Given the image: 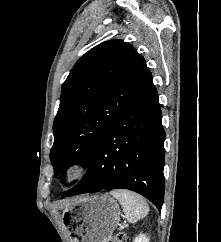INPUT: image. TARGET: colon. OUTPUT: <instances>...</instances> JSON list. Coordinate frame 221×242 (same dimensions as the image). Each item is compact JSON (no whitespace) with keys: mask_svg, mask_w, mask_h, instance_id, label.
Returning a JSON list of instances; mask_svg holds the SVG:
<instances>
[{"mask_svg":"<svg viewBox=\"0 0 221 242\" xmlns=\"http://www.w3.org/2000/svg\"><path fill=\"white\" fill-rule=\"evenodd\" d=\"M111 242H128V241H127L126 234L119 232L113 236Z\"/></svg>","mask_w":221,"mask_h":242,"instance_id":"obj_1","label":"colon"}]
</instances>
